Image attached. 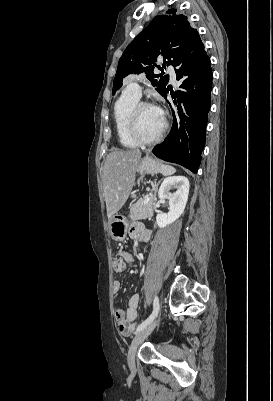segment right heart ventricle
Masks as SVG:
<instances>
[{
  "label": "right heart ventricle",
  "mask_w": 273,
  "mask_h": 401,
  "mask_svg": "<svg viewBox=\"0 0 273 401\" xmlns=\"http://www.w3.org/2000/svg\"><path fill=\"white\" fill-rule=\"evenodd\" d=\"M139 102V98L132 94L123 93L113 105V121L118 140L123 147L138 148L141 144L132 140L126 130L127 121L132 108Z\"/></svg>",
  "instance_id": "1"
}]
</instances>
